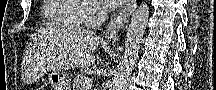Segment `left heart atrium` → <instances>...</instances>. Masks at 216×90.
Listing matches in <instances>:
<instances>
[{
    "label": "left heart atrium",
    "instance_id": "obj_1",
    "mask_svg": "<svg viewBox=\"0 0 216 90\" xmlns=\"http://www.w3.org/2000/svg\"><path fill=\"white\" fill-rule=\"evenodd\" d=\"M97 3H100L103 10H114L115 7H121L124 0H97Z\"/></svg>",
    "mask_w": 216,
    "mask_h": 90
}]
</instances>
